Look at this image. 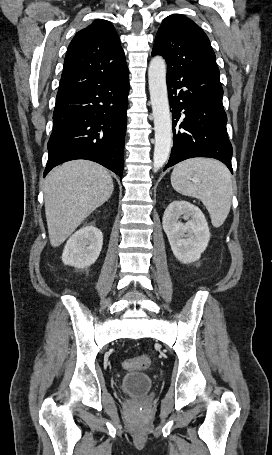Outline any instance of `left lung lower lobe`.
Segmentation results:
<instances>
[{
	"label": "left lung lower lobe",
	"instance_id": "left-lung-lower-lobe-1",
	"mask_svg": "<svg viewBox=\"0 0 272 455\" xmlns=\"http://www.w3.org/2000/svg\"><path fill=\"white\" fill-rule=\"evenodd\" d=\"M167 87L174 120L172 153L164 170L188 158L211 157L233 173L219 75L167 72Z\"/></svg>",
	"mask_w": 272,
	"mask_h": 455
}]
</instances>
